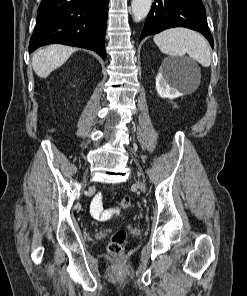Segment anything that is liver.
<instances>
[{
    "instance_id": "liver-1",
    "label": "liver",
    "mask_w": 247,
    "mask_h": 296,
    "mask_svg": "<svg viewBox=\"0 0 247 296\" xmlns=\"http://www.w3.org/2000/svg\"><path fill=\"white\" fill-rule=\"evenodd\" d=\"M76 50L65 45H49L34 53L32 67L39 77L46 78L52 71L63 65Z\"/></svg>"
}]
</instances>
